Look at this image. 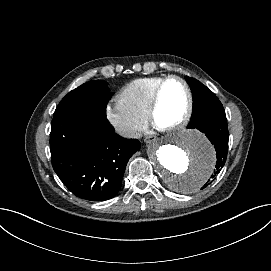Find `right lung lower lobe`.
<instances>
[{
	"label": "right lung lower lobe",
	"mask_w": 271,
	"mask_h": 271,
	"mask_svg": "<svg viewBox=\"0 0 271 271\" xmlns=\"http://www.w3.org/2000/svg\"><path fill=\"white\" fill-rule=\"evenodd\" d=\"M140 147L138 140L115 134L104 113L76 109L52 120L53 169L68 190L82 199L105 201L116 196L127 162Z\"/></svg>",
	"instance_id": "right-lung-lower-lobe-1"
}]
</instances>
